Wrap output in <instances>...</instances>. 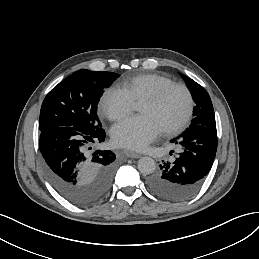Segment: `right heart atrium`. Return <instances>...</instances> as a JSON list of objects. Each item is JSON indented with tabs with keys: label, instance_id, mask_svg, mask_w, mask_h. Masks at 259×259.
Segmentation results:
<instances>
[{
	"label": "right heart atrium",
	"instance_id": "right-heart-atrium-1",
	"mask_svg": "<svg viewBox=\"0 0 259 259\" xmlns=\"http://www.w3.org/2000/svg\"><path fill=\"white\" fill-rule=\"evenodd\" d=\"M102 113L112 121L130 114L133 102L114 88L106 89L100 97Z\"/></svg>",
	"mask_w": 259,
	"mask_h": 259
}]
</instances>
